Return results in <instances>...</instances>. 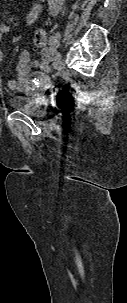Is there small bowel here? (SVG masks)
Returning <instances> with one entry per match:
<instances>
[{
  "mask_svg": "<svg viewBox=\"0 0 127 303\" xmlns=\"http://www.w3.org/2000/svg\"><path fill=\"white\" fill-rule=\"evenodd\" d=\"M40 13V6L35 4L29 11L27 22L33 23ZM10 26L5 23L0 24V42L3 35L9 33ZM34 43L42 48L41 60L32 58L28 51H23L17 63V79L8 81V88L14 92L31 93L35 84L47 85L49 82L48 73L50 72V62L52 53L47 46V36L44 30H37L34 35ZM3 60V52L0 49V63ZM38 68L39 70H34Z\"/></svg>",
  "mask_w": 127,
  "mask_h": 303,
  "instance_id": "1",
  "label": "small bowel"
}]
</instances>
